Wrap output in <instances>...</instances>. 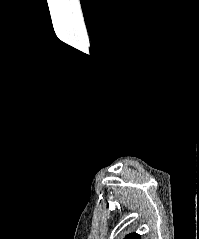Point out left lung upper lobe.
Segmentation results:
<instances>
[{"instance_id": "5c2ea615", "label": "left lung upper lobe", "mask_w": 199, "mask_h": 239, "mask_svg": "<svg viewBox=\"0 0 199 239\" xmlns=\"http://www.w3.org/2000/svg\"><path fill=\"white\" fill-rule=\"evenodd\" d=\"M125 239H141V236L136 233H131L125 237Z\"/></svg>"}]
</instances>
